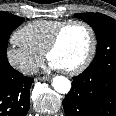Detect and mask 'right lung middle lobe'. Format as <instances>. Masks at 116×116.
Masks as SVG:
<instances>
[{
    "label": "right lung middle lobe",
    "mask_w": 116,
    "mask_h": 116,
    "mask_svg": "<svg viewBox=\"0 0 116 116\" xmlns=\"http://www.w3.org/2000/svg\"><path fill=\"white\" fill-rule=\"evenodd\" d=\"M25 19L0 11V77L9 76L14 69L7 60V43L14 29Z\"/></svg>",
    "instance_id": "dd1d6c3e"
}]
</instances>
